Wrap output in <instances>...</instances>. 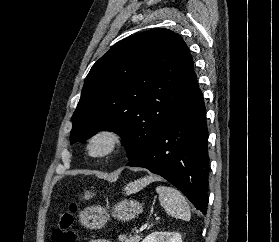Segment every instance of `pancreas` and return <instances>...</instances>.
Instances as JSON below:
<instances>
[{
  "label": "pancreas",
  "instance_id": "cf45deb5",
  "mask_svg": "<svg viewBox=\"0 0 279 242\" xmlns=\"http://www.w3.org/2000/svg\"><path fill=\"white\" fill-rule=\"evenodd\" d=\"M118 239L119 242H140L142 238L139 235H134V236L120 235Z\"/></svg>",
  "mask_w": 279,
  "mask_h": 242
}]
</instances>
